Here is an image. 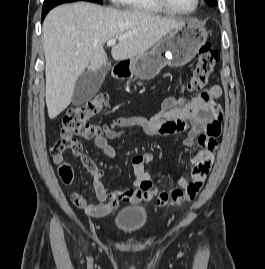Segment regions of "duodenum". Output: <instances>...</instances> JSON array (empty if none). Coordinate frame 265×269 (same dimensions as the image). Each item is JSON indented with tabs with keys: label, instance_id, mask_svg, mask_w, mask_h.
Wrapping results in <instances>:
<instances>
[{
	"label": "duodenum",
	"instance_id": "duodenum-1",
	"mask_svg": "<svg viewBox=\"0 0 265 269\" xmlns=\"http://www.w3.org/2000/svg\"><path fill=\"white\" fill-rule=\"evenodd\" d=\"M127 71H128V68L125 65H117V66H115V68L113 70L114 75L117 78L125 76Z\"/></svg>",
	"mask_w": 265,
	"mask_h": 269
}]
</instances>
